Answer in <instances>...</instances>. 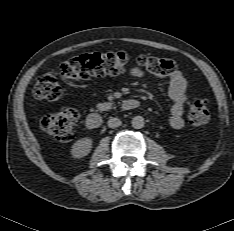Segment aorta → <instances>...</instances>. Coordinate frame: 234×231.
<instances>
[{
	"label": "aorta",
	"mask_w": 234,
	"mask_h": 231,
	"mask_svg": "<svg viewBox=\"0 0 234 231\" xmlns=\"http://www.w3.org/2000/svg\"><path fill=\"white\" fill-rule=\"evenodd\" d=\"M132 127L135 129H141L144 127V118L142 116H135L131 121Z\"/></svg>",
	"instance_id": "1"
}]
</instances>
